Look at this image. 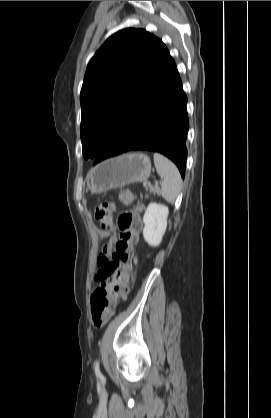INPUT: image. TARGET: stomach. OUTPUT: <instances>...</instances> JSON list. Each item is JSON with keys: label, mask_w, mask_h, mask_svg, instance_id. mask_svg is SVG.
Instances as JSON below:
<instances>
[{"label": "stomach", "mask_w": 271, "mask_h": 418, "mask_svg": "<svg viewBox=\"0 0 271 418\" xmlns=\"http://www.w3.org/2000/svg\"><path fill=\"white\" fill-rule=\"evenodd\" d=\"M151 173V161L143 153H129L107 159L93 167L87 175V187L92 194L134 182L146 181Z\"/></svg>", "instance_id": "obj_1"}]
</instances>
